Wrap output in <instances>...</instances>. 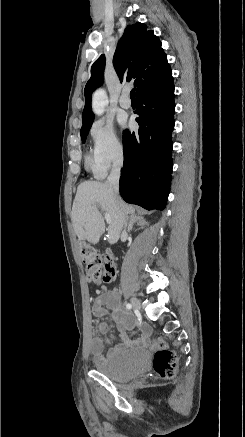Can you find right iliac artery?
Instances as JSON below:
<instances>
[{
  "instance_id": "1",
  "label": "right iliac artery",
  "mask_w": 245,
  "mask_h": 437,
  "mask_svg": "<svg viewBox=\"0 0 245 437\" xmlns=\"http://www.w3.org/2000/svg\"><path fill=\"white\" fill-rule=\"evenodd\" d=\"M126 308H127V309H131V308H132V305H131L130 303H128V304H126Z\"/></svg>"
}]
</instances>
